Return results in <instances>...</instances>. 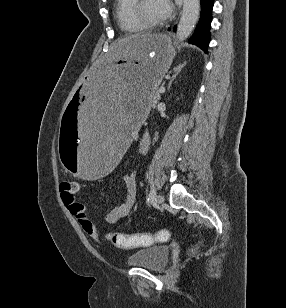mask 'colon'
Returning <instances> with one entry per match:
<instances>
[{"instance_id": "1", "label": "colon", "mask_w": 286, "mask_h": 308, "mask_svg": "<svg viewBox=\"0 0 286 308\" xmlns=\"http://www.w3.org/2000/svg\"><path fill=\"white\" fill-rule=\"evenodd\" d=\"M79 189V183L75 180H64L60 183V190L63 196L74 197ZM169 238V233L163 231L156 234H135L124 235L118 232L107 234V240L118 248H137L151 246L156 243L164 242Z\"/></svg>"}]
</instances>
